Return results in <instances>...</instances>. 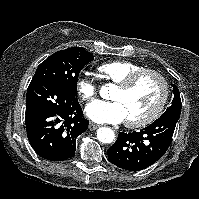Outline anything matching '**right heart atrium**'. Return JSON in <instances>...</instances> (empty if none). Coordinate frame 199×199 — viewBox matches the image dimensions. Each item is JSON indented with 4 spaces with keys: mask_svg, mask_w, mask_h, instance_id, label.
I'll return each mask as SVG.
<instances>
[{
    "mask_svg": "<svg viewBox=\"0 0 199 199\" xmlns=\"http://www.w3.org/2000/svg\"><path fill=\"white\" fill-rule=\"evenodd\" d=\"M78 96L85 101L93 100L97 94V84L86 77H80L76 83Z\"/></svg>",
    "mask_w": 199,
    "mask_h": 199,
    "instance_id": "obj_1",
    "label": "right heart atrium"
}]
</instances>
